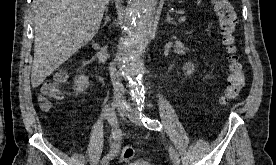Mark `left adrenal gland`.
<instances>
[{
  "mask_svg": "<svg viewBox=\"0 0 276 165\" xmlns=\"http://www.w3.org/2000/svg\"><path fill=\"white\" fill-rule=\"evenodd\" d=\"M165 22H168V23H171V24H175V22L170 17L169 13L166 14Z\"/></svg>",
  "mask_w": 276,
  "mask_h": 165,
  "instance_id": "left-adrenal-gland-1",
  "label": "left adrenal gland"
}]
</instances>
